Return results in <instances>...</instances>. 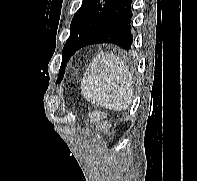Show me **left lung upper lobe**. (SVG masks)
<instances>
[{
    "label": "left lung upper lobe",
    "mask_w": 197,
    "mask_h": 181,
    "mask_svg": "<svg viewBox=\"0 0 197 181\" xmlns=\"http://www.w3.org/2000/svg\"><path fill=\"white\" fill-rule=\"evenodd\" d=\"M113 0H83L75 13L70 26V37L62 51V63L57 82L62 80L66 63L71 56L82 48Z\"/></svg>",
    "instance_id": "left-lung-upper-lobe-1"
}]
</instances>
